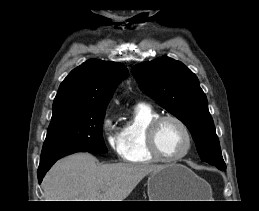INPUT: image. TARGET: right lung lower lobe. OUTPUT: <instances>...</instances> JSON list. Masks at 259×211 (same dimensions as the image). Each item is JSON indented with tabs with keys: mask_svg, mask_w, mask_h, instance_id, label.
<instances>
[{
	"mask_svg": "<svg viewBox=\"0 0 259 211\" xmlns=\"http://www.w3.org/2000/svg\"><path fill=\"white\" fill-rule=\"evenodd\" d=\"M74 152L71 153H63V154H59L57 156H54L51 159H48L44 162H40V166L38 168V181L39 183H41L43 177L45 176L46 172L50 169V167L60 158L68 155V154H72Z\"/></svg>",
	"mask_w": 259,
	"mask_h": 211,
	"instance_id": "right-lung-lower-lobe-1",
	"label": "right lung lower lobe"
}]
</instances>
